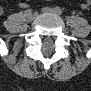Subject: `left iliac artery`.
Returning a JSON list of instances; mask_svg holds the SVG:
<instances>
[{"label":"left iliac artery","mask_w":91,"mask_h":91,"mask_svg":"<svg viewBox=\"0 0 91 91\" xmlns=\"http://www.w3.org/2000/svg\"><path fill=\"white\" fill-rule=\"evenodd\" d=\"M55 11L59 15H61L63 13V11H62V9L60 7H55Z\"/></svg>","instance_id":"44dca946"}]
</instances>
